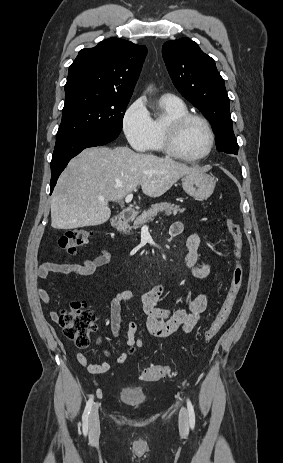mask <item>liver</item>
I'll return each mask as SVG.
<instances>
[{
	"instance_id": "liver-1",
	"label": "liver",
	"mask_w": 283,
	"mask_h": 463,
	"mask_svg": "<svg viewBox=\"0 0 283 463\" xmlns=\"http://www.w3.org/2000/svg\"><path fill=\"white\" fill-rule=\"evenodd\" d=\"M201 171L128 147L84 149L57 181L51 200V226L68 230L103 224L111 216L108 203L121 200L138 185L145 195L156 198L181 177Z\"/></svg>"
}]
</instances>
